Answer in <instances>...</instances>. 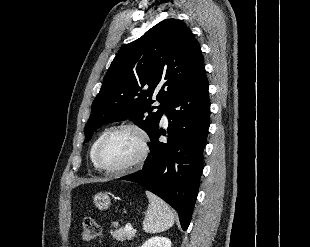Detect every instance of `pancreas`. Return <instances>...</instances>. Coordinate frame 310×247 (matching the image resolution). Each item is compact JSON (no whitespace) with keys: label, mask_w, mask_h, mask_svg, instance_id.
<instances>
[{"label":"pancreas","mask_w":310,"mask_h":247,"mask_svg":"<svg viewBox=\"0 0 310 247\" xmlns=\"http://www.w3.org/2000/svg\"><path fill=\"white\" fill-rule=\"evenodd\" d=\"M111 235L117 241H125L131 240L133 237H135V232L126 231L125 228H120L118 230H111Z\"/></svg>","instance_id":"cf45deb5"}]
</instances>
